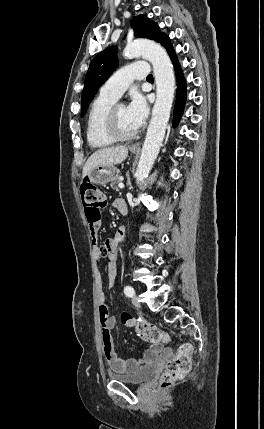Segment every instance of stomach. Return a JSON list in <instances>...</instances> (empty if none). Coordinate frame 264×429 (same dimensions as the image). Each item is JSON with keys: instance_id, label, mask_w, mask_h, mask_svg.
Masks as SVG:
<instances>
[{"instance_id": "obj_1", "label": "stomach", "mask_w": 264, "mask_h": 429, "mask_svg": "<svg viewBox=\"0 0 264 429\" xmlns=\"http://www.w3.org/2000/svg\"><path fill=\"white\" fill-rule=\"evenodd\" d=\"M131 152L136 153L134 150H131ZM116 171L117 168L114 165L98 166L84 178L94 184H106L114 177Z\"/></svg>"}]
</instances>
